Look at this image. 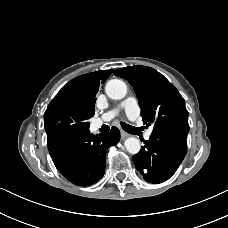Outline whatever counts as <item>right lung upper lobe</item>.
Returning a JSON list of instances; mask_svg holds the SVG:
<instances>
[{
    "mask_svg": "<svg viewBox=\"0 0 228 228\" xmlns=\"http://www.w3.org/2000/svg\"><path fill=\"white\" fill-rule=\"evenodd\" d=\"M113 70L91 72L69 81L54 97L52 102L70 103L89 116L95 113V97L99 86L106 81Z\"/></svg>",
    "mask_w": 228,
    "mask_h": 228,
    "instance_id": "cb5924a9",
    "label": "right lung upper lobe"
}]
</instances>
